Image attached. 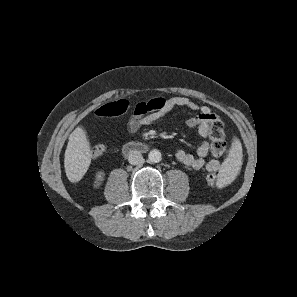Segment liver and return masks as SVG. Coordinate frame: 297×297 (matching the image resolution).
Wrapping results in <instances>:
<instances>
[{
  "instance_id": "6515ba94",
  "label": "liver",
  "mask_w": 297,
  "mask_h": 297,
  "mask_svg": "<svg viewBox=\"0 0 297 297\" xmlns=\"http://www.w3.org/2000/svg\"><path fill=\"white\" fill-rule=\"evenodd\" d=\"M90 145L84 130L77 127L70 135L64 156L65 173L70 182H78L91 163Z\"/></svg>"
}]
</instances>
